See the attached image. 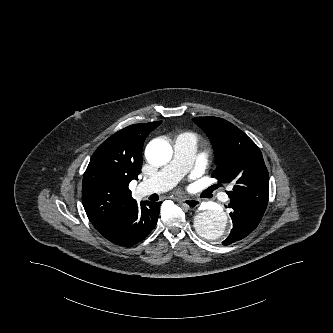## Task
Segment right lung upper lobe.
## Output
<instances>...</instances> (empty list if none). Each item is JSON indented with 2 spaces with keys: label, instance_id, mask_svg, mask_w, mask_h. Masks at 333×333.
Segmentation results:
<instances>
[{
  "label": "right lung upper lobe",
  "instance_id": "right-lung-upper-lobe-1",
  "mask_svg": "<svg viewBox=\"0 0 333 333\" xmlns=\"http://www.w3.org/2000/svg\"><path fill=\"white\" fill-rule=\"evenodd\" d=\"M160 124L156 121L128 126L105 140L92 155L83 177L82 202L97 230L136 202L128 185L140 174L145 138Z\"/></svg>",
  "mask_w": 333,
  "mask_h": 333
}]
</instances>
